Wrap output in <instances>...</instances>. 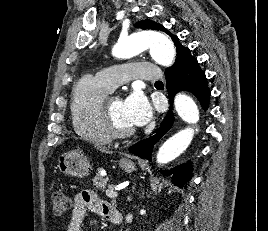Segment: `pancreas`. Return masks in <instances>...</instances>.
Wrapping results in <instances>:
<instances>
[{"label": "pancreas", "mask_w": 268, "mask_h": 231, "mask_svg": "<svg viewBox=\"0 0 268 231\" xmlns=\"http://www.w3.org/2000/svg\"><path fill=\"white\" fill-rule=\"evenodd\" d=\"M101 168L98 169L96 176L93 179V185L96 187L97 190H102L106 188L107 180L101 176Z\"/></svg>", "instance_id": "1"}]
</instances>
